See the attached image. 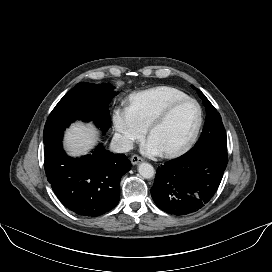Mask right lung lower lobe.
<instances>
[{
	"mask_svg": "<svg viewBox=\"0 0 272 272\" xmlns=\"http://www.w3.org/2000/svg\"><path fill=\"white\" fill-rule=\"evenodd\" d=\"M63 133L45 144L47 179L61 203L82 216H99L119 202L121 177L131 169L124 154L98 146L92 154L72 159L62 149Z\"/></svg>",
	"mask_w": 272,
	"mask_h": 272,
	"instance_id": "98d812e1",
	"label": "right lung lower lobe"
}]
</instances>
